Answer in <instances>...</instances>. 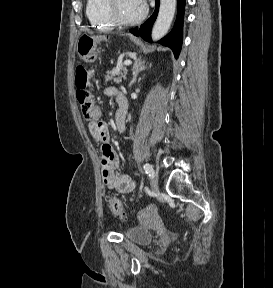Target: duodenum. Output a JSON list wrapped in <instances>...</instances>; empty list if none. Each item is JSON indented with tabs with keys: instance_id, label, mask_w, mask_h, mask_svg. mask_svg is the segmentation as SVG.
Wrapping results in <instances>:
<instances>
[{
	"instance_id": "1",
	"label": "duodenum",
	"mask_w": 273,
	"mask_h": 288,
	"mask_svg": "<svg viewBox=\"0 0 273 288\" xmlns=\"http://www.w3.org/2000/svg\"><path fill=\"white\" fill-rule=\"evenodd\" d=\"M119 108H120V111H119L118 119L124 120L127 114L128 102L123 94L119 98Z\"/></svg>"
}]
</instances>
